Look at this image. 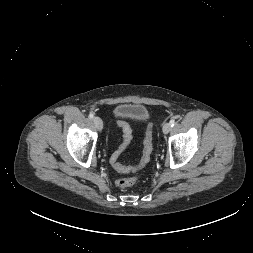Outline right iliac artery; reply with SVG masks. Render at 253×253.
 <instances>
[{
  "mask_svg": "<svg viewBox=\"0 0 253 253\" xmlns=\"http://www.w3.org/2000/svg\"><path fill=\"white\" fill-rule=\"evenodd\" d=\"M89 117H90L91 119H93V118H94V114H93V113H90V114H89Z\"/></svg>",
  "mask_w": 253,
  "mask_h": 253,
  "instance_id": "82829eb1",
  "label": "right iliac artery"
}]
</instances>
